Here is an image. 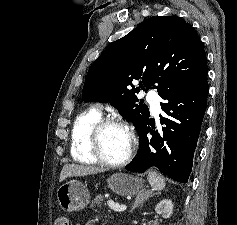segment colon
<instances>
[{"mask_svg":"<svg viewBox=\"0 0 237 225\" xmlns=\"http://www.w3.org/2000/svg\"><path fill=\"white\" fill-rule=\"evenodd\" d=\"M55 225H69V220L65 216H60L56 219Z\"/></svg>","mask_w":237,"mask_h":225,"instance_id":"colon-1","label":"colon"}]
</instances>
